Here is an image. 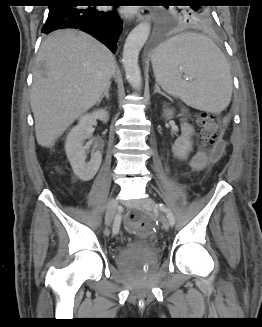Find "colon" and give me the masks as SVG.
Listing matches in <instances>:
<instances>
[{"mask_svg": "<svg viewBox=\"0 0 262 327\" xmlns=\"http://www.w3.org/2000/svg\"><path fill=\"white\" fill-rule=\"evenodd\" d=\"M197 122L201 128L200 138L203 146H213L212 159L219 161L225 152L224 142L220 140L221 124L212 114L201 112L198 114ZM154 222L144 213H131L127 216L126 227L134 233H150Z\"/></svg>", "mask_w": 262, "mask_h": 327, "instance_id": "colon-1", "label": "colon"}]
</instances>
